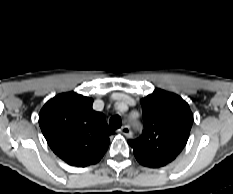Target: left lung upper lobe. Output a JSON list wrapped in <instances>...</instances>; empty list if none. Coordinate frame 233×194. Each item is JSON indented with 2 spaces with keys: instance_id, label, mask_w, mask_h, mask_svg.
<instances>
[{
  "instance_id": "1",
  "label": "left lung upper lobe",
  "mask_w": 233,
  "mask_h": 194,
  "mask_svg": "<svg viewBox=\"0 0 233 194\" xmlns=\"http://www.w3.org/2000/svg\"><path fill=\"white\" fill-rule=\"evenodd\" d=\"M144 130L140 137L129 140L138 161L160 165L172 162L189 138L193 114L189 105L178 95L155 89L140 100Z\"/></svg>"
}]
</instances>
